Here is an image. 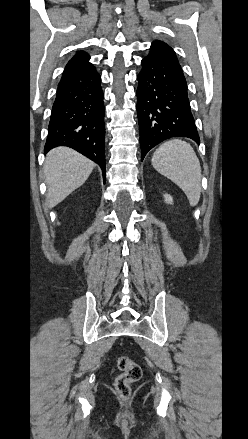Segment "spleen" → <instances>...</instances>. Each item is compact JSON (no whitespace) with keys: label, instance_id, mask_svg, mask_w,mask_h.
<instances>
[{"label":"spleen","instance_id":"3e777b00","mask_svg":"<svg viewBox=\"0 0 248 439\" xmlns=\"http://www.w3.org/2000/svg\"><path fill=\"white\" fill-rule=\"evenodd\" d=\"M152 165L160 174L178 185L191 206L201 195V166L192 146L180 139L163 143L152 156Z\"/></svg>","mask_w":248,"mask_h":439}]
</instances>
